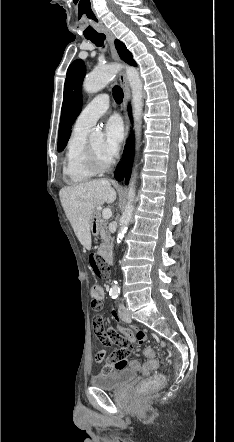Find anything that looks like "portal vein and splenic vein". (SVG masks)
I'll list each match as a JSON object with an SVG mask.
<instances>
[{"label":"portal vein and splenic vein","instance_id":"obj_1","mask_svg":"<svg viewBox=\"0 0 234 442\" xmlns=\"http://www.w3.org/2000/svg\"><path fill=\"white\" fill-rule=\"evenodd\" d=\"M111 216H112V211H111L110 208H105V209L102 211V217H103L104 219H109V218H111Z\"/></svg>","mask_w":234,"mask_h":442}]
</instances>
